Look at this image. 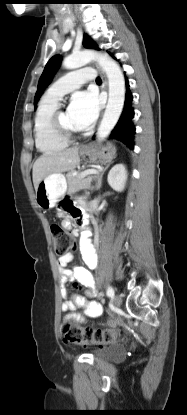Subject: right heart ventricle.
Returning a JSON list of instances; mask_svg holds the SVG:
<instances>
[{"mask_svg":"<svg viewBox=\"0 0 187 415\" xmlns=\"http://www.w3.org/2000/svg\"><path fill=\"white\" fill-rule=\"evenodd\" d=\"M57 108L58 101L44 97L34 117L35 144L38 150L44 154L62 151L69 143L58 137L52 129L51 120Z\"/></svg>","mask_w":187,"mask_h":415,"instance_id":"1","label":"right heart ventricle"}]
</instances>
